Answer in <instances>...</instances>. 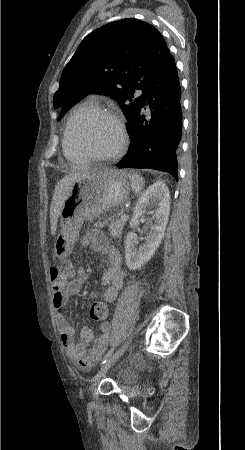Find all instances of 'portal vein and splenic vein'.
Returning <instances> with one entry per match:
<instances>
[{
  "label": "portal vein and splenic vein",
  "mask_w": 245,
  "mask_h": 450,
  "mask_svg": "<svg viewBox=\"0 0 245 450\" xmlns=\"http://www.w3.org/2000/svg\"><path fill=\"white\" fill-rule=\"evenodd\" d=\"M127 218H128V216H127L126 214H124V215H121V219H122V220H125V221H126V220H127Z\"/></svg>",
  "instance_id": "18ae733b"
}]
</instances>
